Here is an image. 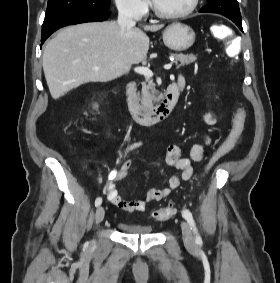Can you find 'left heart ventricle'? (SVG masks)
<instances>
[{
    "instance_id": "obj_1",
    "label": "left heart ventricle",
    "mask_w": 280,
    "mask_h": 283,
    "mask_svg": "<svg viewBox=\"0 0 280 283\" xmlns=\"http://www.w3.org/2000/svg\"><path fill=\"white\" fill-rule=\"evenodd\" d=\"M156 6L165 13H179L185 11L192 0H154Z\"/></svg>"
}]
</instances>
